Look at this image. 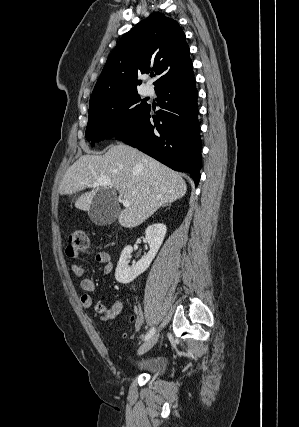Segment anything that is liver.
Wrapping results in <instances>:
<instances>
[{"label":"liver","mask_w":299,"mask_h":427,"mask_svg":"<svg viewBox=\"0 0 299 427\" xmlns=\"http://www.w3.org/2000/svg\"><path fill=\"white\" fill-rule=\"evenodd\" d=\"M108 178L130 206L121 210L119 224L132 228L142 224L160 206L181 199L187 185L181 175L141 151L117 143L101 156L83 155L64 174L60 192L76 194L85 188H92L78 196L75 207L89 211L92 200L100 190L94 184Z\"/></svg>","instance_id":"obj_1"}]
</instances>
